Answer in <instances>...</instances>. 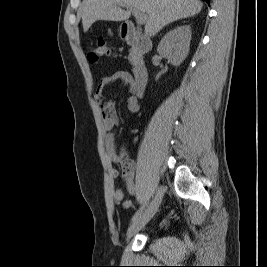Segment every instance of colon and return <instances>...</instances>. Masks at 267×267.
<instances>
[{
  "mask_svg": "<svg viewBox=\"0 0 267 267\" xmlns=\"http://www.w3.org/2000/svg\"><path fill=\"white\" fill-rule=\"evenodd\" d=\"M107 55H109V47H108L107 43L103 39H98L94 48L91 50V52L89 54L90 60L92 62H96L99 59H101ZM120 155L122 158L126 159L124 152H122Z\"/></svg>",
  "mask_w": 267,
  "mask_h": 267,
  "instance_id": "colon-1",
  "label": "colon"
}]
</instances>
